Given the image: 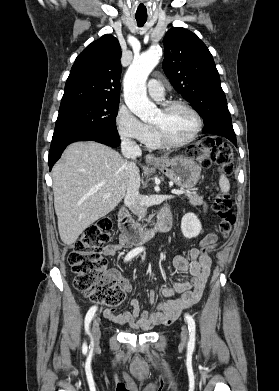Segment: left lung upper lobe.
<instances>
[{
	"label": "left lung upper lobe",
	"mask_w": 279,
	"mask_h": 391,
	"mask_svg": "<svg viewBox=\"0 0 279 391\" xmlns=\"http://www.w3.org/2000/svg\"><path fill=\"white\" fill-rule=\"evenodd\" d=\"M163 70L174 89L204 121L203 133L235 135L213 57L191 31L172 28L164 37Z\"/></svg>",
	"instance_id": "1"
}]
</instances>
